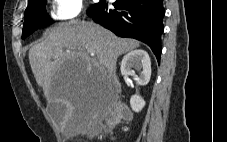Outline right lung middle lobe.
Masks as SVG:
<instances>
[{"instance_id":"right-lung-middle-lobe-1","label":"right lung middle lobe","mask_w":227,"mask_h":142,"mask_svg":"<svg viewBox=\"0 0 227 142\" xmlns=\"http://www.w3.org/2000/svg\"><path fill=\"white\" fill-rule=\"evenodd\" d=\"M46 2L47 0H32L28 2L25 11L22 39L26 38L40 27L53 22L46 13Z\"/></svg>"}]
</instances>
